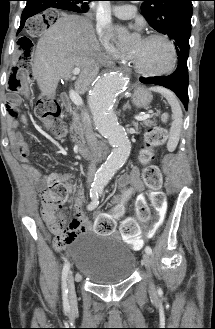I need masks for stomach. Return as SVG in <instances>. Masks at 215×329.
I'll return each mask as SVG.
<instances>
[{
	"label": "stomach",
	"mask_w": 215,
	"mask_h": 329,
	"mask_svg": "<svg viewBox=\"0 0 215 329\" xmlns=\"http://www.w3.org/2000/svg\"><path fill=\"white\" fill-rule=\"evenodd\" d=\"M152 101V95L144 87H137L132 96L133 104L138 108H146Z\"/></svg>",
	"instance_id": "0dacf381"
}]
</instances>
